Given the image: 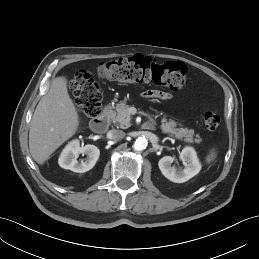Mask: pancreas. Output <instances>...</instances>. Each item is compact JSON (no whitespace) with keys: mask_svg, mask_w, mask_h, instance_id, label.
<instances>
[{"mask_svg":"<svg viewBox=\"0 0 259 259\" xmlns=\"http://www.w3.org/2000/svg\"><path fill=\"white\" fill-rule=\"evenodd\" d=\"M108 115L113 122L119 123L121 128L126 129L130 127L131 115L129 113V106L125 101H120L116 106V111H111ZM161 122V129L165 134L188 143H200L202 141L200 135L195 134L193 129L177 128L178 123L172 119L167 120L164 116Z\"/></svg>","mask_w":259,"mask_h":259,"instance_id":"cf45deb5","label":"pancreas"}]
</instances>
